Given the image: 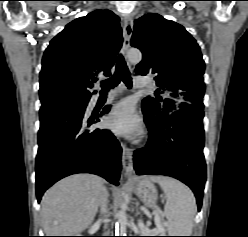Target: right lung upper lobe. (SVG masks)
I'll list each match as a JSON object with an SVG mask.
<instances>
[{"label":"right lung upper lobe","mask_w":248,"mask_h":237,"mask_svg":"<svg viewBox=\"0 0 248 237\" xmlns=\"http://www.w3.org/2000/svg\"><path fill=\"white\" fill-rule=\"evenodd\" d=\"M122 41L119 18L109 10L93 11L66 25L43 55L42 107L60 100H89L92 82L98 75H110Z\"/></svg>","instance_id":"1"}]
</instances>
